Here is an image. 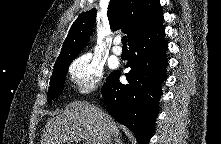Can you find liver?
<instances>
[{
  "label": "liver",
  "instance_id": "liver-1",
  "mask_svg": "<svg viewBox=\"0 0 221 144\" xmlns=\"http://www.w3.org/2000/svg\"><path fill=\"white\" fill-rule=\"evenodd\" d=\"M103 128L110 138L120 139L119 126L108 113L88 102L73 101L62 114L47 121L41 144H65L73 137L84 144H101Z\"/></svg>",
  "mask_w": 221,
  "mask_h": 144
}]
</instances>
